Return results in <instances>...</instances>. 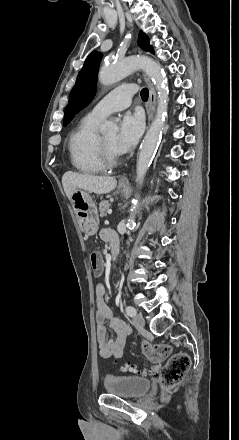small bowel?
Here are the masks:
<instances>
[{"label":"small bowel","mask_w":239,"mask_h":440,"mask_svg":"<svg viewBox=\"0 0 239 440\" xmlns=\"http://www.w3.org/2000/svg\"><path fill=\"white\" fill-rule=\"evenodd\" d=\"M101 237L112 244L118 242L116 234L110 230H103ZM96 325L99 353L103 358H120L129 335L128 326L121 320L113 317L105 301V288L102 284L96 287ZM109 322L111 333L106 328Z\"/></svg>","instance_id":"small-bowel-1"}]
</instances>
